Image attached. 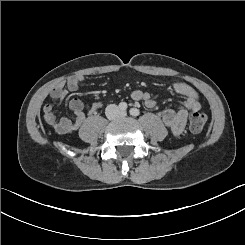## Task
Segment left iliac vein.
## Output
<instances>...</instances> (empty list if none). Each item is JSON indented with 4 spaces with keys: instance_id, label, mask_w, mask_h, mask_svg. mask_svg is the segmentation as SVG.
I'll return each mask as SVG.
<instances>
[{
    "instance_id": "1",
    "label": "left iliac vein",
    "mask_w": 245,
    "mask_h": 245,
    "mask_svg": "<svg viewBox=\"0 0 245 245\" xmlns=\"http://www.w3.org/2000/svg\"><path fill=\"white\" fill-rule=\"evenodd\" d=\"M121 116H123V117L126 116V112L125 111H122L121 112Z\"/></svg>"
}]
</instances>
